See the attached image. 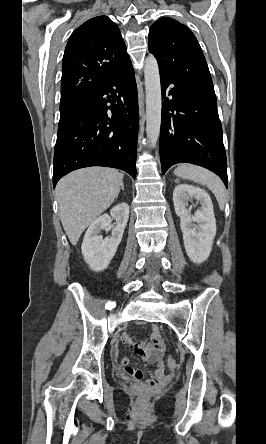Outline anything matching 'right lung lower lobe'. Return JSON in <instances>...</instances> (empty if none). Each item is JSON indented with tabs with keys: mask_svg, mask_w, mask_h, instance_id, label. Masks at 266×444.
Wrapping results in <instances>:
<instances>
[{
	"mask_svg": "<svg viewBox=\"0 0 266 444\" xmlns=\"http://www.w3.org/2000/svg\"><path fill=\"white\" fill-rule=\"evenodd\" d=\"M138 119L137 87L130 61L60 114L54 188L62 176L89 166L118 168L135 178Z\"/></svg>",
	"mask_w": 266,
	"mask_h": 444,
	"instance_id": "1",
	"label": "right lung lower lobe"
}]
</instances>
